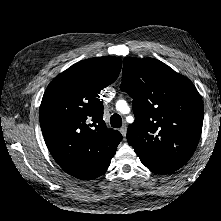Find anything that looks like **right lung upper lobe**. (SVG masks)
I'll use <instances>...</instances> for the list:
<instances>
[{"mask_svg": "<svg viewBox=\"0 0 221 221\" xmlns=\"http://www.w3.org/2000/svg\"><path fill=\"white\" fill-rule=\"evenodd\" d=\"M121 65L111 56L82 60L56 76L44 93L39 109L44 140L59 166L78 179L105 173L123 138L106 127L99 99Z\"/></svg>", "mask_w": 221, "mask_h": 221, "instance_id": "right-lung-upper-lobe-1", "label": "right lung upper lobe"}]
</instances>
